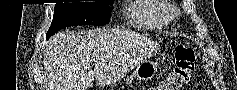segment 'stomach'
<instances>
[{
	"label": "stomach",
	"mask_w": 237,
	"mask_h": 90,
	"mask_svg": "<svg viewBox=\"0 0 237 90\" xmlns=\"http://www.w3.org/2000/svg\"><path fill=\"white\" fill-rule=\"evenodd\" d=\"M158 69V63L153 61H145L138 65L134 70V76L138 78V80H148L151 79Z\"/></svg>",
	"instance_id": "0dacf381"
}]
</instances>
